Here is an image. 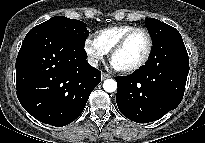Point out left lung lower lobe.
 Listing matches in <instances>:
<instances>
[{
    "label": "left lung lower lobe",
    "instance_id": "obj_1",
    "mask_svg": "<svg viewBox=\"0 0 205 143\" xmlns=\"http://www.w3.org/2000/svg\"><path fill=\"white\" fill-rule=\"evenodd\" d=\"M148 66L130 76L117 77L120 112L137 123H148L174 110L182 101L189 58L179 32L154 45Z\"/></svg>",
    "mask_w": 205,
    "mask_h": 143
}]
</instances>
